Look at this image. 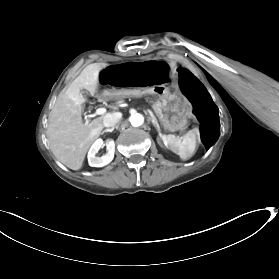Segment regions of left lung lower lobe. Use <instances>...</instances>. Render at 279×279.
I'll return each mask as SVG.
<instances>
[{"mask_svg": "<svg viewBox=\"0 0 279 279\" xmlns=\"http://www.w3.org/2000/svg\"><path fill=\"white\" fill-rule=\"evenodd\" d=\"M179 85L191 101L194 114L200 121L201 140L208 150L218 140L220 122L218 108L200 81L184 68H179Z\"/></svg>", "mask_w": 279, "mask_h": 279, "instance_id": "0a47b994", "label": "left lung lower lobe"}]
</instances>
